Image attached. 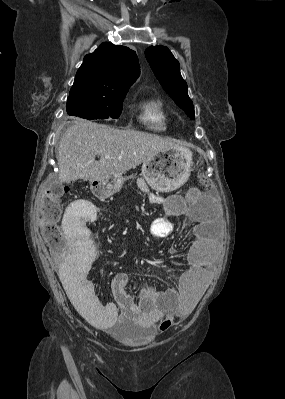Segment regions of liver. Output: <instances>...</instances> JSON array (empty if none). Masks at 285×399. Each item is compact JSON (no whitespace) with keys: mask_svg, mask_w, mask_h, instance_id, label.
<instances>
[{"mask_svg":"<svg viewBox=\"0 0 285 399\" xmlns=\"http://www.w3.org/2000/svg\"><path fill=\"white\" fill-rule=\"evenodd\" d=\"M180 148L171 139L155 134L120 130L83 119L76 120L63 134L57 159L59 181L94 180L121 176L157 153ZM96 155L100 160L96 161ZM109 156L110 158H106Z\"/></svg>","mask_w":285,"mask_h":399,"instance_id":"1","label":"liver"}]
</instances>
